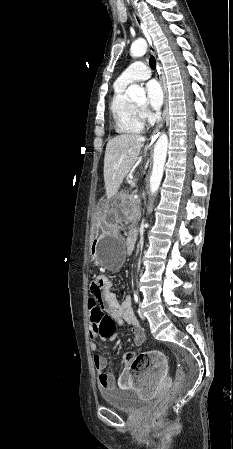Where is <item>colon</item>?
<instances>
[{"label": "colon", "instance_id": "5ec220e1", "mask_svg": "<svg viewBox=\"0 0 233 449\" xmlns=\"http://www.w3.org/2000/svg\"><path fill=\"white\" fill-rule=\"evenodd\" d=\"M99 303L100 301H88L87 303L85 313L88 327L93 328V333L98 334L99 338H116L117 332L116 329H114L113 321L109 314H107V308L101 307ZM123 362L127 373L133 375L143 368L148 367L149 354H140L134 359L128 357L125 358ZM184 381L185 375L183 371L178 370L175 374L173 383L169 388L166 399L156 410L155 414H159L160 411L181 391ZM124 386H128V383H125Z\"/></svg>", "mask_w": 233, "mask_h": 449}]
</instances>
